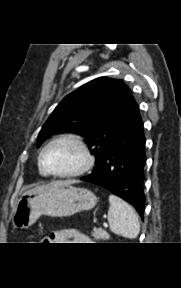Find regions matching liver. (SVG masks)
<instances>
[{
	"label": "liver",
	"instance_id": "obj_1",
	"mask_svg": "<svg viewBox=\"0 0 181 288\" xmlns=\"http://www.w3.org/2000/svg\"><path fill=\"white\" fill-rule=\"evenodd\" d=\"M64 182L74 183V181H64ZM43 187H44V186H37L36 188H34V189H32V190H30V191H28V192H35V191H37V190L42 189Z\"/></svg>",
	"mask_w": 181,
	"mask_h": 288
}]
</instances>
